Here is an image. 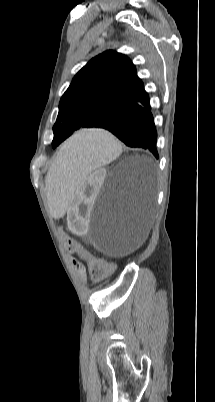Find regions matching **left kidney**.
<instances>
[{
    "mask_svg": "<svg viewBox=\"0 0 215 402\" xmlns=\"http://www.w3.org/2000/svg\"><path fill=\"white\" fill-rule=\"evenodd\" d=\"M107 172L105 169H98L93 178H86L84 184H81L80 191L74 193L67 224L71 226V233L78 240L85 238L90 216V202L97 198V193L101 191L102 180Z\"/></svg>",
    "mask_w": 215,
    "mask_h": 402,
    "instance_id": "obj_1",
    "label": "left kidney"
}]
</instances>
